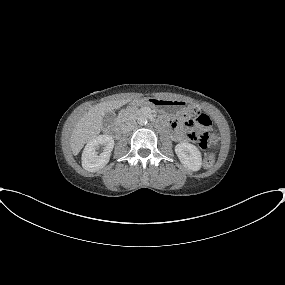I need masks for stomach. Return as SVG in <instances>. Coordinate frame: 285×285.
Segmentation results:
<instances>
[{"label":"stomach","instance_id":"obj_1","mask_svg":"<svg viewBox=\"0 0 285 285\" xmlns=\"http://www.w3.org/2000/svg\"><path fill=\"white\" fill-rule=\"evenodd\" d=\"M137 105L147 106L161 113H174L188 106L183 100L159 99L147 97L136 102Z\"/></svg>","mask_w":285,"mask_h":285}]
</instances>
